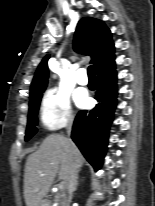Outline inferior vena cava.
I'll list each match as a JSON object with an SVG mask.
<instances>
[{"mask_svg":"<svg viewBox=\"0 0 155 206\" xmlns=\"http://www.w3.org/2000/svg\"><path fill=\"white\" fill-rule=\"evenodd\" d=\"M72 125H73V119H71L68 122V125L66 127L68 136H70V134H71ZM68 140L71 141L70 139H68ZM76 176H77L76 166L74 163H72L71 167H70L69 179H68V183H67L68 199H67V201H65V206H69V203L71 201L72 193L75 190Z\"/></svg>","mask_w":155,"mask_h":206,"instance_id":"obj_1","label":"inferior vena cava"}]
</instances>
